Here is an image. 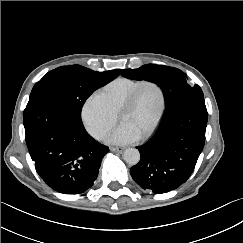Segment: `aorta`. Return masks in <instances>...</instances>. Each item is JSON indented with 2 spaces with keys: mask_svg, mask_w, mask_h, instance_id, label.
I'll use <instances>...</instances> for the list:
<instances>
[{
  "mask_svg": "<svg viewBox=\"0 0 243 243\" xmlns=\"http://www.w3.org/2000/svg\"><path fill=\"white\" fill-rule=\"evenodd\" d=\"M124 160L130 165H136L140 161V152L136 148H128L123 154Z\"/></svg>",
  "mask_w": 243,
  "mask_h": 243,
  "instance_id": "obj_1",
  "label": "aorta"
}]
</instances>
